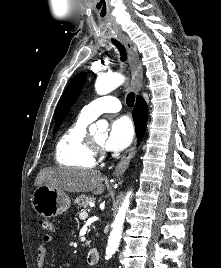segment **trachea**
I'll return each instance as SVG.
<instances>
[{
  "mask_svg": "<svg viewBox=\"0 0 221 268\" xmlns=\"http://www.w3.org/2000/svg\"><path fill=\"white\" fill-rule=\"evenodd\" d=\"M112 43L117 47L118 51L120 52V60L122 62H125L127 60V54L125 52L124 46L115 39H112ZM134 101H135V94L133 92L128 93V95L126 97L127 105L129 107H133Z\"/></svg>",
  "mask_w": 221,
  "mask_h": 268,
  "instance_id": "3493384b",
  "label": "trachea"
}]
</instances>
